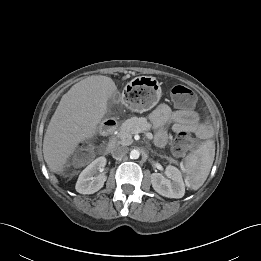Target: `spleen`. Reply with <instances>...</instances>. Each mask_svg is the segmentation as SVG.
<instances>
[{
  "label": "spleen",
  "instance_id": "3e777b00",
  "mask_svg": "<svg viewBox=\"0 0 261 261\" xmlns=\"http://www.w3.org/2000/svg\"><path fill=\"white\" fill-rule=\"evenodd\" d=\"M215 157V144L208 140L185 159L186 185L198 190L206 181Z\"/></svg>",
  "mask_w": 261,
  "mask_h": 261
}]
</instances>
